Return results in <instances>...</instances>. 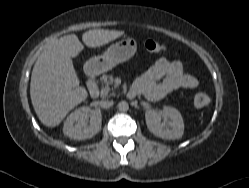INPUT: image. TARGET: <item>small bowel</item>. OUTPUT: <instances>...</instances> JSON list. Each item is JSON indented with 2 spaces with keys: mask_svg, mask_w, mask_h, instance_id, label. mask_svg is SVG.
Masks as SVG:
<instances>
[{
  "mask_svg": "<svg viewBox=\"0 0 249 188\" xmlns=\"http://www.w3.org/2000/svg\"><path fill=\"white\" fill-rule=\"evenodd\" d=\"M197 86L198 80L184 73V67L180 61L160 58L142 72L133 88L147 99L157 101L177 89H195Z\"/></svg>",
  "mask_w": 249,
  "mask_h": 188,
  "instance_id": "c3829d8e",
  "label": "small bowel"
}]
</instances>
